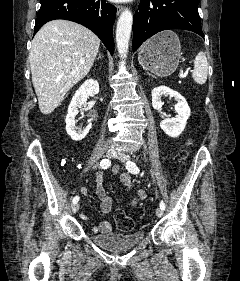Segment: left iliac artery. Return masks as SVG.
<instances>
[{"label":"left iliac artery","instance_id":"obj_1","mask_svg":"<svg viewBox=\"0 0 240 281\" xmlns=\"http://www.w3.org/2000/svg\"><path fill=\"white\" fill-rule=\"evenodd\" d=\"M126 169L131 172L132 174H137L139 173V168L137 167V165L132 162V161H127L126 162ZM160 208L162 210H165L166 206L165 203L163 201L160 202Z\"/></svg>","mask_w":240,"mask_h":281}]
</instances>
